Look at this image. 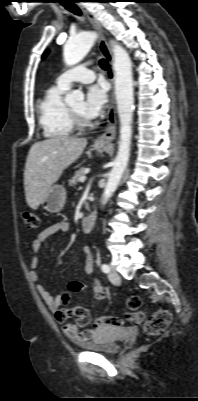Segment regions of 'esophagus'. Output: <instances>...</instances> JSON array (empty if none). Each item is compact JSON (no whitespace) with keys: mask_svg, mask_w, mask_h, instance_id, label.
I'll return each mask as SVG.
<instances>
[{"mask_svg":"<svg viewBox=\"0 0 198 401\" xmlns=\"http://www.w3.org/2000/svg\"><path fill=\"white\" fill-rule=\"evenodd\" d=\"M82 11L85 13L87 16L88 20L94 27V29L99 33V48L103 56L106 58V60L109 63V69L107 72L108 79L110 80L112 84V92L110 96V102L108 105V110H107V127L106 130L103 134H101L96 140V144L100 145H105L109 144L116 135V109H115V103H114V95H113V90H114V69H113V56L110 50V47L107 43L106 37L104 35L103 28L100 24V22L95 18L94 14L88 9L82 5H80Z\"/></svg>","mask_w":198,"mask_h":401,"instance_id":"1","label":"esophagus"}]
</instances>
